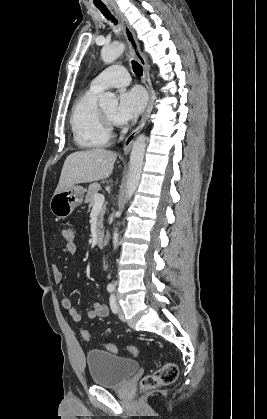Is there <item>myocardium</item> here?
Listing matches in <instances>:
<instances>
[{"instance_id":"obj_1","label":"myocardium","mask_w":267,"mask_h":419,"mask_svg":"<svg viewBox=\"0 0 267 419\" xmlns=\"http://www.w3.org/2000/svg\"><path fill=\"white\" fill-rule=\"evenodd\" d=\"M101 117L106 129L111 132L115 126V120L111 119L103 109H101Z\"/></svg>"}]
</instances>
